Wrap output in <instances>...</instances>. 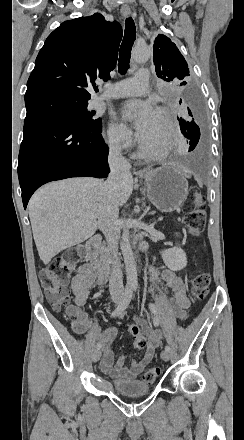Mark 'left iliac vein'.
Here are the masks:
<instances>
[{
  "mask_svg": "<svg viewBox=\"0 0 244 440\" xmlns=\"http://www.w3.org/2000/svg\"><path fill=\"white\" fill-rule=\"evenodd\" d=\"M161 358H162L164 361H168V360L170 359V352L167 351V350H163V351H161Z\"/></svg>",
  "mask_w": 244,
  "mask_h": 440,
  "instance_id": "1",
  "label": "left iliac vein"
}]
</instances>
